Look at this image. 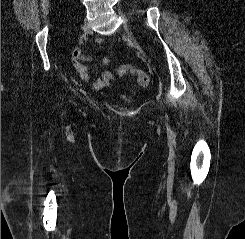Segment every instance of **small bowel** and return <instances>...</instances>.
<instances>
[{
    "mask_svg": "<svg viewBox=\"0 0 245 239\" xmlns=\"http://www.w3.org/2000/svg\"><path fill=\"white\" fill-rule=\"evenodd\" d=\"M98 51L97 53H100V48L104 44V39L98 38L95 41ZM91 59L90 56H87L83 54L79 49H75L72 52V65L74 69L79 74V77L84 80L88 81L91 78V72L89 67L85 64V62L89 61ZM111 63V60L109 57H103L101 59V65L102 67H107ZM116 79V75L110 71V70H104L101 75L92 83V88L96 91L102 90L104 88L109 87L112 82Z\"/></svg>",
    "mask_w": 245,
    "mask_h": 239,
    "instance_id": "c3829d8e",
    "label": "small bowel"
}]
</instances>
